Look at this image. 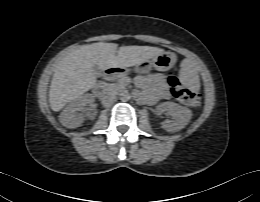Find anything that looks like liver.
Wrapping results in <instances>:
<instances>
[{
    "mask_svg": "<svg viewBox=\"0 0 260 202\" xmlns=\"http://www.w3.org/2000/svg\"><path fill=\"white\" fill-rule=\"evenodd\" d=\"M115 43L82 45L65 56L56 66L49 90V103L55 112L77 99L96 83L93 67L127 68L154 58L164 50L150 46H121Z\"/></svg>",
    "mask_w": 260,
    "mask_h": 202,
    "instance_id": "liver-1",
    "label": "liver"
}]
</instances>
